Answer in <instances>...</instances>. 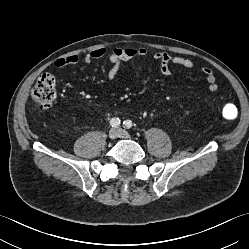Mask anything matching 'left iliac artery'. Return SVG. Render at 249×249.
<instances>
[{
    "mask_svg": "<svg viewBox=\"0 0 249 249\" xmlns=\"http://www.w3.org/2000/svg\"><path fill=\"white\" fill-rule=\"evenodd\" d=\"M123 126L125 127V128H131L132 127V121L131 120H126V121H124L123 122Z\"/></svg>",
    "mask_w": 249,
    "mask_h": 249,
    "instance_id": "1",
    "label": "left iliac artery"
}]
</instances>
